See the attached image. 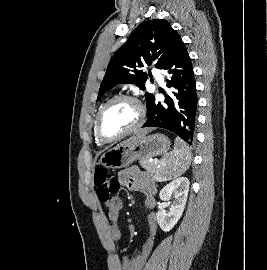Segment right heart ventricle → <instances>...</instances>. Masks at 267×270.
Returning a JSON list of instances; mask_svg holds the SVG:
<instances>
[{
	"label": "right heart ventricle",
	"instance_id": "right-heart-ventricle-1",
	"mask_svg": "<svg viewBox=\"0 0 267 270\" xmlns=\"http://www.w3.org/2000/svg\"><path fill=\"white\" fill-rule=\"evenodd\" d=\"M101 107H102V106H101ZM101 107H100V108H101ZM94 136H95L96 143L99 144V145H101L102 143L97 139V137H96V135H95V128H94Z\"/></svg>",
	"mask_w": 267,
	"mask_h": 270
}]
</instances>
